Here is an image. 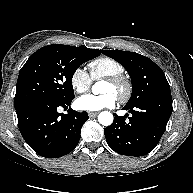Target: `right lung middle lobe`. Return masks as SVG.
<instances>
[{
	"label": "right lung middle lobe",
	"mask_w": 193,
	"mask_h": 193,
	"mask_svg": "<svg viewBox=\"0 0 193 193\" xmlns=\"http://www.w3.org/2000/svg\"><path fill=\"white\" fill-rule=\"evenodd\" d=\"M96 55L73 46L53 44L33 53L20 70L15 109L35 99L52 97L72 101V77L76 69Z\"/></svg>",
	"instance_id": "obj_1"
}]
</instances>
